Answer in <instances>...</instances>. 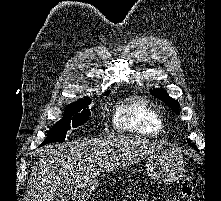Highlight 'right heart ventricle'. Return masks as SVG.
<instances>
[{
  "label": "right heart ventricle",
  "instance_id": "e07e8e85",
  "mask_svg": "<svg viewBox=\"0 0 221 201\" xmlns=\"http://www.w3.org/2000/svg\"><path fill=\"white\" fill-rule=\"evenodd\" d=\"M113 125L120 131L151 136L162 131L163 119L147 100L131 97L116 105Z\"/></svg>",
  "mask_w": 221,
  "mask_h": 201
}]
</instances>
